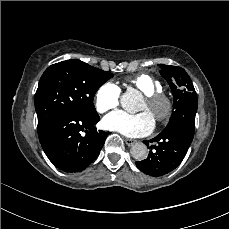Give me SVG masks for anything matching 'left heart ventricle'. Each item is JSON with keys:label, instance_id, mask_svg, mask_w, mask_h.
<instances>
[{"label": "left heart ventricle", "instance_id": "1", "mask_svg": "<svg viewBox=\"0 0 229 229\" xmlns=\"http://www.w3.org/2000/svg\"><path fill=\"white\" fill-rule=\"evenodd\" d=\"M141 110H146L147 112H149L152 115V113L148 110V104H147L146 100H144V103H143Z\"/></svg>", "mask_w": 229, "mask_h": 229}]
</instances>
